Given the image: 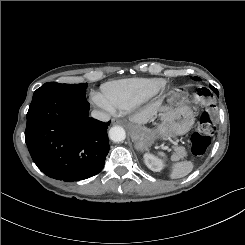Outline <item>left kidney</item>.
<instances>
[{"mask_svg": "<svg viewBox=\"0 0 245 245\" xmlns=\"http://www.w3.org/2000/svg\"><path fill=\"white\" fill-rule=\"evenodd\" d=\"M144 162L146 166L154 172H160L164 167L161 160L149 153L144 154Z\"/></svg>", "mask_w": 245, "mask_h": 245, "instance_id": "5707ae66", "label": "left kidney"}]
</instances>
